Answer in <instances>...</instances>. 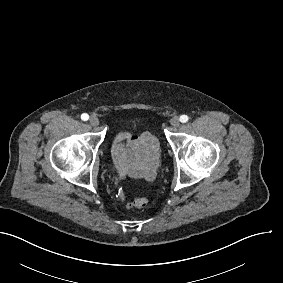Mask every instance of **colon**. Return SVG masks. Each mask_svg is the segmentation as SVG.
I'll return each instance as SVG.
<instances>
[{"label": "colon", "mask_w": 283, "mask_h": 283, "mask_svg": "<svg viewBox=\"0 0 283 283\" xmlns=\"http://www.w3.org/2000/svg\"><path fill=\"white\" fill-rule=\"evenodd\" d=\"M148 204V199L144 196L138 195L135 196L128 204V208H145Z\"/></svg>", "instance_id": "colon-1"}]
</instances>
